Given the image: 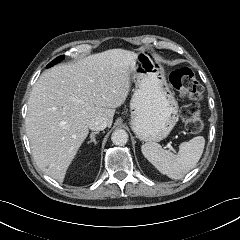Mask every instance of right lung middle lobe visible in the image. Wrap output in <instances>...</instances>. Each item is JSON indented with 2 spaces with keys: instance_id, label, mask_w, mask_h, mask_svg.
Returning a JSON list of instances; mask_svg holds the SVG:
<instances>
[{
  "instance_id": "right-lung-middle-lobe-1",
  "label": "right lung middle lobe",
  "mask_w": 240,
  "mask_h": 240,
  "mask_svg": "<svg viewBox=\"0 0 240 240\" xmlns=\"http://www.w3.org/2000/svg\"><path fill=\"white\" fill-rule=\"evenodd\" d=\"M64 56L57 57L55 60H53L51 63L47 65V67H51L55 65L56 63H59L61 60H63Z\"/></svg>"
}]
</instances>
